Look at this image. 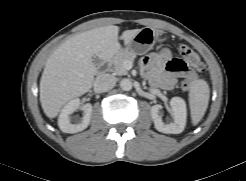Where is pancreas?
Listing matches in <instances>:
<instances>
[{"label": "pancreas", "mask_w": 246, "mask_h": 181, "mask_svg": "<svg viewBox=\"0 0 246 181\" xmlns=\"http://www.w3.org/2000/svg\"><path fill=\"white\" fill-rule=\"evenodd\" d=\"M136 54L130 51H124L117 54L112 60V71L115 75H127L125 62H133Z\"/></svg>", "instance_id": "cf45deb5"}]
</instances>
